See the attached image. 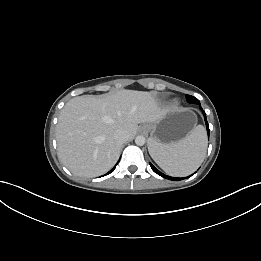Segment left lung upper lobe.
<instances>
[{"label":"left lung upper lobe","mask_w":261,"mask_h":261,"mask_svg":"<svg viewBox=\"0 0 261 261\" xmlns=\"http://www.w3.org/2000/svg\"><path fill=\"white\" fill-rule=\"evenodd\" d=\"M186 99L189 103H195L200 105L199 100L191 95H186Z\"/></svg>","instance_id":"obj_1"}]
</instances>
